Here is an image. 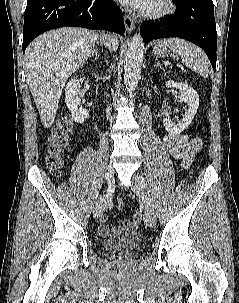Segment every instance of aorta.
<instances>
[{"mask_svg": "<svg viewBox=\"0 0 239 303\" xmlns=\"http://www.w3.org/2000/svg\"><path fill=\"white\" fill-rule=\"evenodd\" d=\"M144 54V42L139 33L135 34L126 51L124 59V84L128 92L136 90L141 79V65Z\"/></svg>", "mask_w": 239, "mask_h": 303, "instance_id": "aorta-1", "label": "aorta"}]
</instances>
